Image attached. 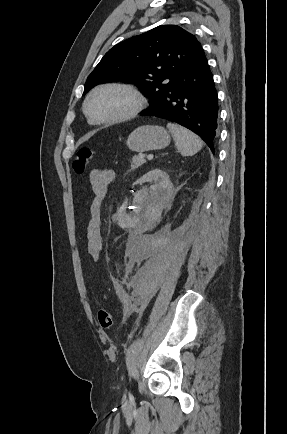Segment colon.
<instances>
[{
	"mask_svg": "<svg viewBox=\"0 0 287 434\" xmlns=\"http://www.w3.org/2000/svg\"><path fill=\"white\" fill-rule=\"evenodd\" d=\"M93 156V150L91 148L80 149L72 163V167L77 174H82L86 170L90 160ZM97 319L100 326L105 330H110L114 326V316L113 314L106 310L100 309L97 312Z\"/></svg>",
	"mask_w": 287,
	"mask_h": 434,
	"instance_id": "obj_1",
	"label": "colon"
}]
</instances>
